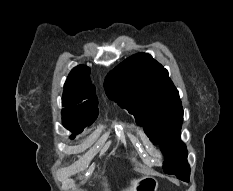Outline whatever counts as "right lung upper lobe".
Masks as SVG:
<instances>
[{
  "label": "right lung upper lobe",
  "mask_w": 233,
  "mask_h": 191,
  "mask_svg": "<svg viewBox=\"0 0 233 191\" xmlns=\"http://www.w3.org/2000/svg\"><path fill=\"white\" fill-rule=\"evenodd\" d=\"M96 89L90 80V68L85 65L75 67L64 85L62 114L67 116L98 115Z\"/></svg>",
  "instance_id": "obj_1"
}]
</instances>
